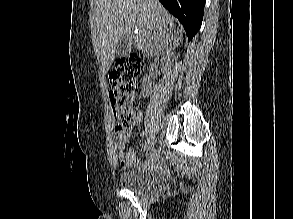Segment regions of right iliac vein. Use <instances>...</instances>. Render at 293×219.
<instances>
[{"label": "right iliac vein", "mask_w": 293, "mask_h": 219, "mask_svg": "<svg viewBox=\"0 0 293 219\" xmlns=\"http://www.w3.org/2000/svg\"><path fill=\"white\" fill-rule=\"evenodd\" d=\"M155 142H156L155 137L150 138L149 141L147 142L145 149L146 150L151 149L154 146Z\"/></svg>", "instance_id": "obj_1"}]
</instances>
